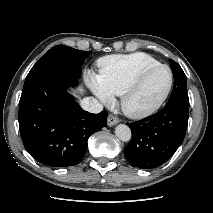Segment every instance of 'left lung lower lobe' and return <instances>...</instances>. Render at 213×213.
Listing matches in <instances>:
<instances>
[{"label": "left lung lower lobe", "instance_id": "1", "mask_svg": "<svg viewBox=\"0 0 213 213\" xmlns=\"http://www.w3.org/2000/svg\"><path fill=\"white\" fill-rule=\"evenodd\" d=\"M189 103L169 100L165 107L147 118L127 123L132 139L124 154L133 167L156 168L165 163L185 137Z\"/></svg>", "mask_w": 213, "mask_h": 213}]
</instances>
